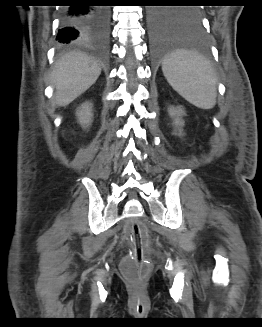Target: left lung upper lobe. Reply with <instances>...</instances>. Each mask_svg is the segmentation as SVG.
I'll use <instances>...</instances> for the list:
<instances>
[{
	"instance_id": "5c2ea615",
	"label": "left lung upper lobe",
	"mask_w": 262,
	"mask_h": 327,
	"mask_svg": "<svg viewBox=\"0 0 262 327\" xmlns=\"http://www.w3.org/2000/svg\"><path fill=\"white\" fill-rule=\"evenodd\" d=\"M184 14L193 20H200V13L197 9L195 8H190V9H184Z\"/></svg>"
}]
</instances>
